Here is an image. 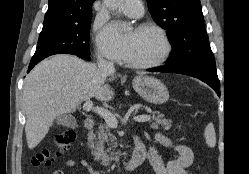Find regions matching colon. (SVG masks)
Returning <instances> with one entry per match:
<instances>
[{
    "label": "colon",
    "instance_id": "obj_1",
    "mask_svg": "<svg viewBox=\"0 0 249 174\" xmlns=\"http://www.w3.org/2000/svg\"><path fill=\"white\" fill-rule=\"evenodd\" d=\"M75 132L73 130H65L59 133L54 142V146L43 150L33 156L31 164L34 167H45L50 165L56 157L64 151H67L75 141Z\"/></svg>",
    "mask_w": 249,
    "mask_h": 174
}]
</instances>
